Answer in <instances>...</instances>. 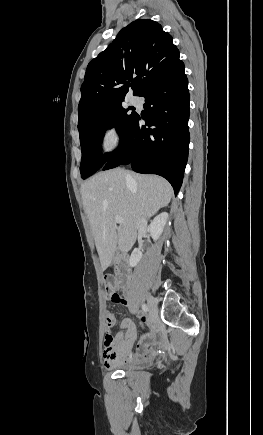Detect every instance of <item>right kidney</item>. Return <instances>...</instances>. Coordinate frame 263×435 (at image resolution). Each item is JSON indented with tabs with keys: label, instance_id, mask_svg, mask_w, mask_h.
Instances as JSON below:
<instances>
[{
	"label": "right kidney",
	"instance_id": "obj_1",
	"mask_svg": "<svg viewBox=\"0 0 263 435\" xmlns=\"http://www.w3.org/2000/svg\"><path fill=\"white\" fill-rule=\"evenodd\" d=\"M168 217H169L168 213L163 212L158 216H156L150 223L148 230L154 240L159 239L167 223ZM141 258H142V251L140 250V248L134 249L129 259L130 266L135 267L140 262Z\"/></svg>",
	"mask_w": 263,
	"mask_h": 435
}]
</instances>
